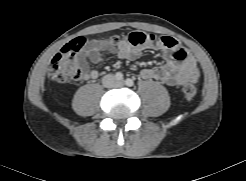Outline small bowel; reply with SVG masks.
I'll return each mask as SVG.
<instances>
[{
    "label": "small bowel",
    "instance_id": "1",
    "mask_svg": "<svg viewBox=\"0 0 246 181\" xmlns=\"http://www.w3.org/2000/svg\"><path fill=\"white\" fill-rule=\"evenodd\" d=\"M155 46L161 51L164 63L142 69V78L157 80L168 86H179L185 81H196L199 78L200 72L195 57L174 37L163 36ZM104 50L121 59H135L141 48L133 46L128 40L120 41L116 46H109L105 40L93 39L86 43L81 51V58L85 62L99 63L103 59ZM85 77L90 80L97 79L99 71L87 70Z\"/></svg>",
    "mask_w": 246,
    "mask_h": 181
}]
</instances>
